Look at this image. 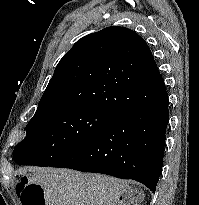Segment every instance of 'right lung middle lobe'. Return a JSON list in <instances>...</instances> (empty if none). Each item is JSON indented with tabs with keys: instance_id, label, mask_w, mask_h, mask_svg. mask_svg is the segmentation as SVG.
<instances>
[{
	"instance_id": "obj_1",
	"label": "right lung middle lobe",
	"mask_w": 199,
	"mask_h": 205,
	"mask_svg": "<svg viewBox=\"0 0 199 205\" xmlns=\"http://www.w3.org/2000/svg\"><path fill=\"white\" fill-rule=\"evenodd\" d=\"M116 117L104 109L74 105L36 111L26 137L13 151L18 165L51 166L93 140Z\"/></svg>"
}]
</instances>
